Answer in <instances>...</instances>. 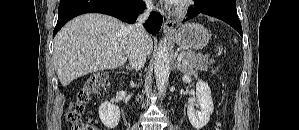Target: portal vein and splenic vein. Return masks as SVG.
<instances>
[{
	"label": "portal vein and splenic vein",
	"instance_id": "obj_1",
	"mask_svg": "<svg viewBox=\"0 0 299 130\" xmlns=\"http://www.w3.org/2000/svg\"><path fill=\"white\" fill-rule=\"evenodd\" d=\"M109 55H111V53H109ZM184 57V54L183 53H180L179 55H178V61H181L182 60V58Z\"/></svg>",
	"mask_w": 299,
	"mask_h": 130
}]
</instances>
